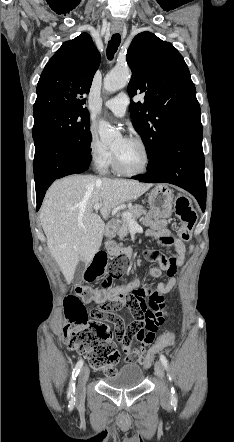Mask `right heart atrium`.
Here are the masks:
<instances>
[{
    "label": "right heart atrium",
    "mask_w": 234,
    "mask_h": 442,
    "mask_svg": "<svg viewBox=\"0 0 234 442\" xmlns=\"http://www.w3.org/2000/svg\"><path fill=\"white\" fill-rule=\"evenodd\" d=\"M88 153L92 164L98 169H105L111 163V150L101 142L93 129L89 132Z\"/></svg>",
    "instance_id": "obj_1"
}]
</instances>
